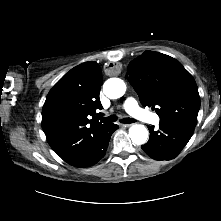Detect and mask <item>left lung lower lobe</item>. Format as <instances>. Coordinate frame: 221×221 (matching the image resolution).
<instances>
[{"instance_id": "1", "label": "left lung lower lobe", "mask_w": 221, "mask_h": 221, "mask_svg": "<svg viewBox=\"0 0 221 221\" xmlns=\"http://www.w3.org/2000/svg\"><path fill=\"white\" fill-rule=\"evenodd\" d=\"M196 124L159 123V130L148 127L150 139L142 145L143 151L152 159L162 161L174 159L188 143Z\"/></svg>"}]
</instances>
